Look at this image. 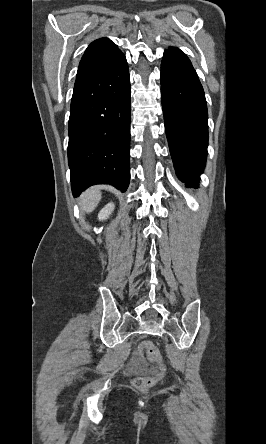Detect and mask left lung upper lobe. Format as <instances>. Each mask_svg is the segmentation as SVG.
Listing matches in <instances>:
<instances>
[{
	"mask_svg": "<svg viewBox=\"0 0 266 444\" xmlns=\"http://www.w3.org/2000/svg\"><path fill=\"white\" fill-rule=\"evenodd\" d=\"M167 52H170V53H174V54H177V55H182V56H186L181 50H179L178 48H170V49H168V50H166ZM187 57V56H186Z\"/></svg>",
	"mask_w": 266,
	"mask_h": 444,
	"instance_id": "left-lung-upper-lobe-1",
	"label": "left lung upper lobe"
}]
</instances>
